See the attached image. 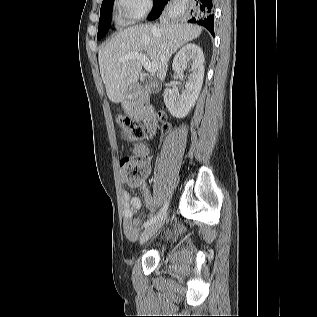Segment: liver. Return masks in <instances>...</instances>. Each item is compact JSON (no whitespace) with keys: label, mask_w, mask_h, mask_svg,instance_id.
I'll list each match as a JSON object with an SVG mask.
<instances>
[{"label":"liver","mask_w":317,"mask_h":317,"mask_svg":"<svg viewBox=\"0 0 317 317\" xmlns=\"http://www.w3.org/2000/svg\"><path fill=\"white\" fill-rule=\"evenodd\" d=\"M197 25L168 22L135 25L116 34L99 51L100 74L109 100L123 102L139 79L142 64L136 60L120 61L129 52H143L157 64V77L164 81L171 56L184 44L200 36Z\"/></svg>","instance_id":"liver-1"}]
</instances>
